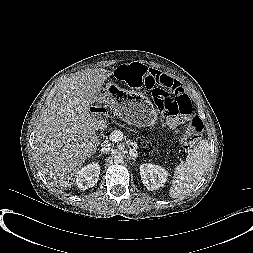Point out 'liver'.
Masks as SVG:
<instances>
[{
  "mask_svg": "<svg viewBox=\"0 0 253 253\" xmlns=\"http://www.w3.org/2000/svg\"><path fill=\"white\" fill-rule=\"evenodd\" d=\"M111 74L105 69L76 72L61 83L41 115L34 140L36 162L63 189L71 187L73 177L96 152L99 140L90 105L97 102Z\"/></svg>",
  "mask_w": 253,
  "mask_h": 253,
  "instance_id": "obj_1",
  "label": "liver"
}]
</instances>
